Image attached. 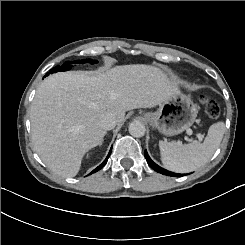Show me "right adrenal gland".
<instances>
[{
	"label": "right adrenal gland",
	"mask_w": 245,
	"mask_h": 245,
	"mask_svg": "<svg viewBox=\"0 0 245 245\" xmlns=\"http://www.w3.org/2000/svg\"><path fill=\"white\" fill-rule=\"evenodd\" d=\"M102 142H103V139L101 140V142L99 143V148L101 147V145H102Z\"/></svg>",
	"instance_id": "right-adrenal-gland-1"
}]
</instances>
